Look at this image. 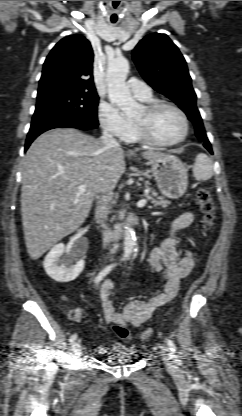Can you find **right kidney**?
Returning <instances> with one entry per match:
<instances>
[{"instance_id": "right-kidney-1", "label": "right kidney", "mask_w": 242, "mask_h": 416, "mask_svg": "<svg viewBox=\"0 0 242 416\" xmlns=\"http://www.w3.org/2000/svg\"><path fill=\"white\" fill-rule=\"evenodd\" d=\"M77 245L73 244L63 260L61 256L65 252L63 243L55 245L46 255L43 266L46 273L55 281L70 282L76 279L84 269V260L76 259Z\"/></svg>"}]
</instances>
